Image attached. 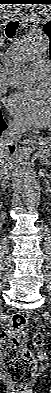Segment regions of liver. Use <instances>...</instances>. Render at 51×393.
<instances>
[{
  "mask_svg": "<svg viewBox=\"0 0 51 393\" xmlns=\"http://www.w3.org/2000/svg\"><path fill=\"white\" fill-rule=\"evenodd\" d=\"M2 161H5L7 163H11L13 161L8 150L3 145H1V149H0V163Z\"/></svg>",
  "mask_w": 51,
  "mask_h": 393,
  "instance_id": "6515ba94",
  "label": "liver"
}]
</instances>
